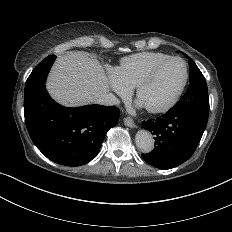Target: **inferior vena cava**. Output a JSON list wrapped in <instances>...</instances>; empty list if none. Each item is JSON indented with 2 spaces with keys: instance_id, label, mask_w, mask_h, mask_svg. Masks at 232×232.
<instances>
[{
  "instance_id": "inferior-vena-cava-1",
  "label": "inferior vena cava",
  "mask_w": 232,
  "mask_h": 232,
  "mask_svg": "<svg viewBox=\"0 0 232 232\" xmlns=\"http://www.w3.org/2000/svg\"><path fill=\"white\" fill-rule=\"evenodd\" d=\"M97 102L103 105L118 106L120 104V100L112 93H104L98 98Z\"/></svg>"
}]
</instances>
